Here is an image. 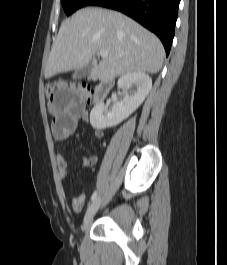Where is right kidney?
<instances>
[{
    "label": "right kidney",
    "mask_w": 227,
    "mask_h": 265,
    "mask_svg": "<svg viewBox=\"0 0 227 265\" xmlns=\"http://www.w3.org/2000/svg\"><path fill=\"white\" fill-rule=\"evenodd\" d=\"M117 84L122 89L136 85L137 91L133 95L126 94L122 101L113 104L110 111L104 103L96 104L90 113L93 128L103 130L121 123L142 104L152 88V80L144 72L126 73L119 78Z\"/></svg>",
    "instance_id": "right-kidney-1"
}]
</instances>
